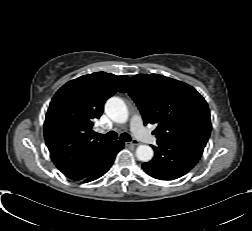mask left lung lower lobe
Returning a JSON list of instances; mask_svg holds the SVG:
<instances>
[{
	"label": "left lung lower lobe",
	"mask_w": 252,
	"mask_h": 231,
	"mask_svg": "<svg viewBox=\"0 0 252 231\" xmlns=\"http://www.w3.org/2000/svg\"><path fill=\"white\" fill-rule=\"evenodd\" d=\"M154 158L142 167L150 176L160 180L177 179L192 169L199 161L204 147L191 142L157 141L152 146Z\"/></svg>",
	"instance_id": "obj_1"
}]
</instances>
